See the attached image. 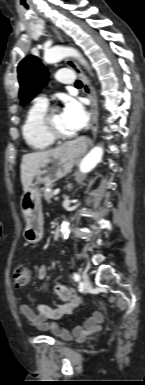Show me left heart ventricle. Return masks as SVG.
Returning a JSON list of instances; mask_svg holds the SVG:
<instances>
[{"label": "left heart ventricle", "mask_w": 145, "mask_h": 385, "mask_svg": "<svg viewBox=\"0 0 145 385\" xmlns=\"http://www.w3.org/2000/svg\"><path fill=\"white\" fill-rule=\"evenodd\" d=\"M52 125L55 131H57L60 134L70 135L73 134V132L68 128L66 125L62 112L57 111L53 117H52Z\"/></svg>", "instance_id": "1"}]
</instances>
